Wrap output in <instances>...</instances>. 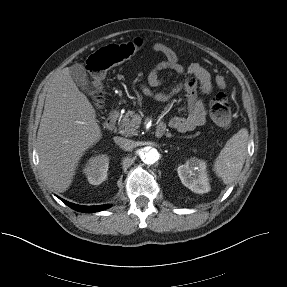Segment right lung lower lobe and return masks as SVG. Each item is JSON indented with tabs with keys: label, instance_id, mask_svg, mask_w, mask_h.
<instances>
[{
	"label": "right lung lower lobe",
	"instance_id": "98d812e1",
	"mask_svg": "<svg viewBox=\"0 0 287 287\" xmlns=\"http://www.w3.org/2000/svg\"><path fill=\"white\" fill-rule=\"evenodd\" d=\"M60 200L63 203H65L67 206L71 207L72 209L80 211V212H86V213L102 211L104 209L111 207V205H108V204L99 205V206H81V205H77L74 203H70L62 198H60Z\"/></svg>",
	"mask_w": 287,
	"mask_h": 287
}]
</instances>
